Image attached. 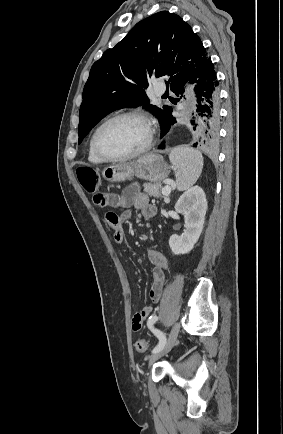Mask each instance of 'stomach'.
Returning <instances> with one entry per match:
<instances>
[{
  "instance_id": "0dacf381",
  "label": "stomach",
  "mask_w": 283,
  "mask_h": 434,
  "mask_svg": "<svg viewBox=\"0 0 283 434\" xmlns=\"http://www.w3.org/2000/svg\"><path fill=\"white\" fill-rule=\"evenodd\" d=\"M169 175V166L158 153H149L135 161L105 167L102 176L109 182H123L137 176L158 183Z\"/></svg>"
}]
</instances>
